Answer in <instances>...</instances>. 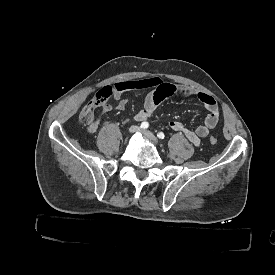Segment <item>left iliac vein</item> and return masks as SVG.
<instances>
[{"instance_id":"obj_1","label":"left iliac vein","mask_w":275,"mask_h":275,"mask_svg":"<svg viewBox=\"0 0 275 275\" xmlns=\"http://www.w3.org/2000/svg\"><path fill=\"white\" fill-rule=\"evenodd\" d=\"M143 135L155 143H158V139L148 130L142 131Z\"/></svg>"}]
</instances>
